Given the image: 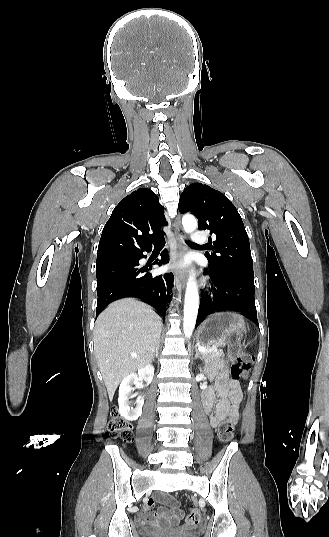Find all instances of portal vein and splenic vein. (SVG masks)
Wrapping results in <instances>:
<instances>
[{"mask_svg": "<svg viewBox=\"0 0 329 537\" xmlns=\"http://www.w3.org/2000/svg\"><path fill=\"white\" fill-rule=\"evenodd\" d=\"M213 349H214V350H217L216 347H213ZM199 350L202 351V352H207V351H209V350H207V349H205V348H203V347H199ZM132 356H136V354H133Z\"/></svg>", "mask_w": 329, "mask_h": 537, "instance_id": "obj_1", "label": "portal vein and splenic vein"}]
</instances>
